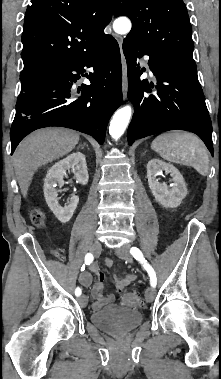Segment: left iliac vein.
<instances>
[{"mask_svg": "<svg viewBox=\"0 0 221 379\" xmlns=\"http://www.w3.org/2000/svg\"><path fill=\"white\" fill-rule=\"evenodd\" d=\"M130 245L125 244L116 250V255L124 259L127 262H132V256L130 255ZM156 296V290L154 287H149L145 292V298L147 302H152Z\"/></svg>", "mask_w": 221, "mask_h": 379, "instance_id": "left-iliac-vein-1", "label": "left iliac vein"}]
</instances>
